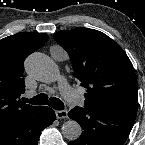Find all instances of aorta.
I'll use <instances>...</instances> for the list:
<instances>
[{"instance_id": "aorta-1", "label": "aorta", "mask_w": 145, "mask_h": 145, "mask_svg": "<svg viewBox=\"0 0 145 145\" xmlns=\"http://www.w3.org/2000/svg\"><path fill=\"white\" fill-rule=\"evenodd\" d=\"M25 69L29 75L45 83L54 82L59 73L54 61L39 52L31 54L26 59ZM61 132L66 139L73 141L80 137L82 128L75 120H68L63 123Z\"/></svg>"}]
</instances>
